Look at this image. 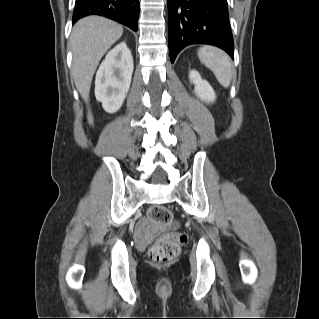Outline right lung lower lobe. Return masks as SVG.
Returning a JSON list of instances; mask_svg holds the SVG:
<instances>
[{
  "label": "right lung lower lobe",
  "instance_id": "right-lung-lower-lobe-1",
  "mask_svg": "<svg viewBox=\"0 0 319 319\" xmlns=\"http://www.w3.org/2000/svg\"><path fill=\"white\" fill-rule=\"evenodd\" d=\"M138 0H76L72 23L89 15H100L137 31Z\"/></svg>",
  "mask_w": 319,
  "mask_h": 319
}]
</instances>
